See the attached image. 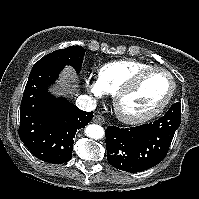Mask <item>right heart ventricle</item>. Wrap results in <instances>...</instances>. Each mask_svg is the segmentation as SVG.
Wrapping results in <instances>:
<instances>
[{
  "label": "right heart ventricle",
  "instance_id": "obj_1",
  "mask_svg": "<svg viewBox=\"0 0 199 199\" xmlns=\"http://www.w3.org/2000/svg\"><path fill=\"white\" fill-rule=\"evenodd\" d=\"M151 67L136 60H118L103 65L97 73V80L106 93L114 94L137 71Z\"/></svg>",
  "mask_w": 199,
  "mask_h": 199
}]
</instances>
